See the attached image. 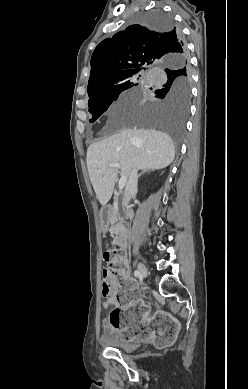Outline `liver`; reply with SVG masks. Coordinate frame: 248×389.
Listing matches in <instances>:
<instances>
[{
  "label": "liver",
  "mask_w": 248,
  "mask_h": 389,
  "mask_svg": "<svg viewBox=\"0 0 248 389\" xmlns=\"http://www.w3.org/2000/svg\"><path fill=\"white\" fill-rule=\"evenodd\" d=\"M175 158V147L164 132L154 129H123L87 149V168L91 184L102 206L110 200L118 176H129L134 168L140 170L163 169Z\"/></svg>",
  "instance_id": "6515ba94"
}]
</instances>
